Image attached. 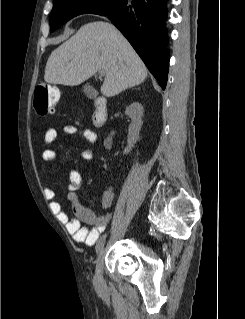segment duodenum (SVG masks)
I'll return each instance as SVG.
<instances>
[{
	"instance_id": "1",
	"label": "duodenum",
	"mask_w": 245,
	"mask_h": 319,
	"mask_svg": "<svg viewBox=\"0 0 245 319\" xmlns=\"http://www.w3.org/2000/svg\"><path fill=\"white\" fill-rule=\"evenodd\" d=\"M108 116V108L106 99L98 97L94 102V114L92 117L93 125L95 127H102L105 125Z\"/></svg>"
}]
</instances>
